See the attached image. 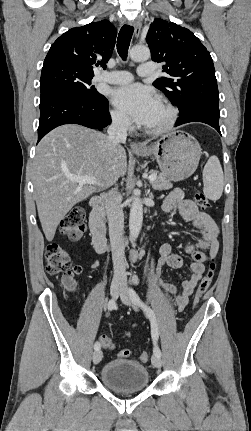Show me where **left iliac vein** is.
I'll use <instances>...</instances> for the list:
<instances>
[{
    "instance_id": "1",
    "label": "left iliac vein",
    "mask_w": 251,
    "mask_h": 431,
    "mask_svg": "<svg viewBox=\"0 0 251 431\" xmlns=\"http://www.w3.org/2000/svg\"><path fill=\"white\" fill-rule=\"evenodd\" d=\"M120 299L125 305L131 306L133 304V301L130 295V290H128L125 287L122 288L120 291ZM151 362L155 368H160L162 366V360L160 356L156 354H153L151 358Z\"/></svg>"
}]
</instances>
